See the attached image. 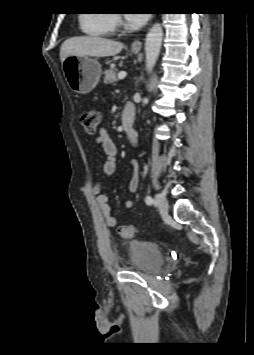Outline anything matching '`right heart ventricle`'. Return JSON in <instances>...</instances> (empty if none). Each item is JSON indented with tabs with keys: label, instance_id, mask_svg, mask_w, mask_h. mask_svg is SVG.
Masks as SVG:
<instances>
[{
	"label": "right heart ventricle",
	"instance_id": "obj_1",
	"mask_svg": "<svg viewBox=\"0 0 254 355\" xmlns=\"http://www.w3.org/2000/svg\"><path fill=\"white\" fill-rule=\"evenodd\" d=\"M80 26L84 33L92 37H106L114 32L113 15L98 11L81 15Z\"/></svg>",
	"mask_w": 254,
	"mask_h": 355
}]
</instances>
